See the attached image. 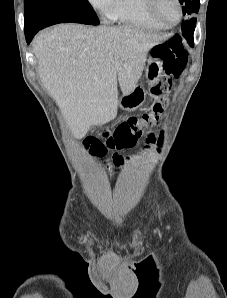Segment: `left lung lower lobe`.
<instances>
[{
    "label": "left lung lower lobe",
    "mask_w": 227,
    "mask_h": 298,
    "mask_svg": "<svg viewBox=\"0 0 227 298\" xmlns=\"http://www.w3.org/2000/svg\"><path fill=\"white\" fill-rule=\"evenodd\" d=\"M188 42H190V44H191L192 46L194 45L193 41H188Z\"/></svg>",
    "instance_id": "1"
}]
</instances>
